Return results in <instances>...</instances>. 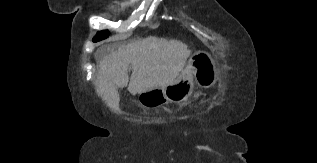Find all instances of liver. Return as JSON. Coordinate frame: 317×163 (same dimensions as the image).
Segmentation results:
<instances>
[{"mask_svg": "<svg viewBox=\"0 0 317 163\" xmlns=\"http://www.w3.org/2000/svg\"><path fill=\"white\" fill-rule=\"evenodd\" d=\"M190 53L181 41L155 36L122 45L99 62L97 93L110 109L117 111L118 87L128 85V91L136 95L170 84L184 69ZM129 65L132 68L130 77Z\"/></svg>", "mask_w": 317, "mask_h": 163, "instance_id": "1", "label": "liver"}]
</instances>
